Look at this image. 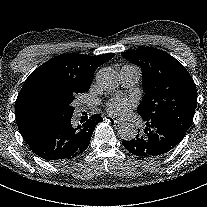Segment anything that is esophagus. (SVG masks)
<instances>
[{
    "label": "esophagus",
    "mask_w": 207,
    "mask_h": 207,
    "mask_svg": "<svg viewBox=\"0 0 207 207\" xmlns=\"http://www.w3.org/2000/svg\"><path fill=\"white\" fill-rule=\"evenodd\" d=\"M104 118L111 122H117L116 118L111 115H105Z\"/></svg>",
    "instance_id": "obj_1"
}]
</instances>
